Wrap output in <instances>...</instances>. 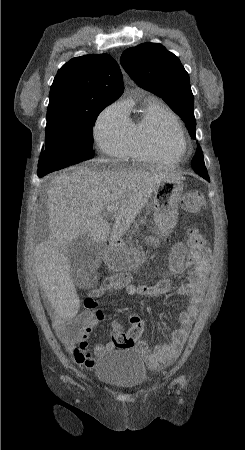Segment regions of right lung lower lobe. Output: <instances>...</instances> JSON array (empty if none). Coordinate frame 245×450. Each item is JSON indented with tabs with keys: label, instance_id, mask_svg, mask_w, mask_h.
<instances>
[{
	"label": "right lung lower lobe",
	"instance_id": "obj_1",
	"mask_svg": "<svg viewBox=\"0 0 245 450\" xmlns=\"http://www.w3.org/2000/svg\"><path fill=\"white\" fill-rule=\"evenodd\" d=\"M47 173H38V176L39 177H43V176H45Z\"/></svg>",
	"mask_w": 245,
	"mask_h": 450
}]
</instances>
